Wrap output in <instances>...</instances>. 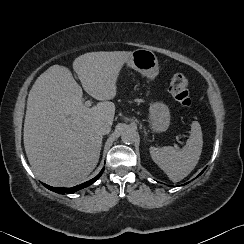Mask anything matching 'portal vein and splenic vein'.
I'll return each mask as SVG.
<instances>
[{"label": "portal vein and splenic vein", "instance_id": "18ae733b", "mask_svg": "<svg viewBox=\"0 0 244 244\" xmlns=\"http://www.w3.org/2000/svg\"><path fill=\"white\" fill-rule=\"evenodd\" d=\"M91 104H92V102H91L90 100H88V101H86V102L84 103V105H85L86 107L91 106ZM174 147H175L176 149H179V146H178L176 143H174Z\"/></svg>", "mask_w": 244, "mask_h": 244}]
</instances>
